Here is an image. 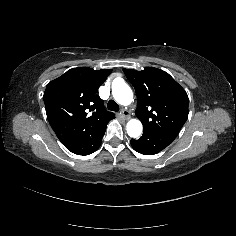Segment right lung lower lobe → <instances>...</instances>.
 <instances>
[{
	"mask_svg": "<svg viewBox=\"0 0 236 236\" xmlns=\"http://www.w3.org/2000/svg\"><path fill=\"white\" fill-rule=\"evenodd\" d=\"M105 130H106V127L102 130H99L97 133H94L88 136L87 138L75 144H72L66 148L72 153H75L77 155L91 154L99 148L102 142V138L104 136Z\"/></svg>",
	"mask_w": 236,
	"mask_h": 236,
	"instance_id": "1",
	"label": "right lung lower lobe"
}]
</instances>
